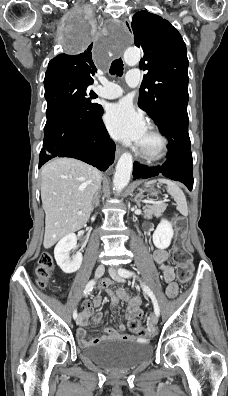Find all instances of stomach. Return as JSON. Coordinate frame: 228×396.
Returning a JSON list of instances; mask_svg holds the SVG:
<instances>
[{
    "label": "stomach",
    "instance_id": "stomach-1",
    "mask_svg": "<svg viewBox=\"0 0 228 396\" xmlns=\"http://www.w3.org/2000/svg\"><path fill=\"white\" fill-rule=\"evenodd\" d=\"M157 191H155L153 188H152V190L150 191V195H152V196H156L157 195Z\"/></svg>",
    "mask_w": 228,
    "mask_h": 396
}]
</instances>
